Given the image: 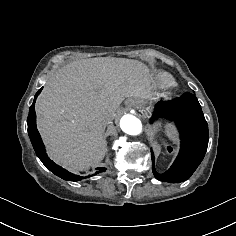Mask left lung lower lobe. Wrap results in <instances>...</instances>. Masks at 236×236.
<instances>
[{"label":"left lung lower lobe","mask_w":236,"mask_h":236,"mask_svg":"<svg viewBox=\"0 0 236 236\" xmlns=\"http://www.w3.org/2000/svg\"><path fill=\"white\" fill-rule=\"evenodd\" d=\"M158 118H166L176 124L181 146L175 162L163 174L156 172L151 150L153 174L160 181L183 182L191 177L207 151L208 125L201 105L192 93H185L177 99L158 102L150 122L153 123Z\"/></svg>","instance_id":"left-lung-lower-lobe-1"}]
</instances>
